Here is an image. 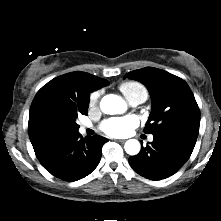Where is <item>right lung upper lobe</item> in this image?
Wrapping results in <instances>:
<instances>
[{
  "mask_svg": "<svg viewBox=\"0 0 221 221\" xmlns=\"http://www.w3.org/2000/svg\"><path fill=\"white\" fill-rule=\"evenodd\" d=\"M108 81L85 72L54 78L36 94L29 112L28 133L36 156H41L59 139L76 133L67 119L71 110L84 111L90 93Z\"/></svg>",
  "mask_w": 221,
  "mask_h": 221,
  "instance_id": "right-lung-upper-lobe-1",
  "label": "right lung upper lobe"
}]
</instances>
